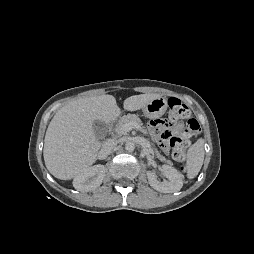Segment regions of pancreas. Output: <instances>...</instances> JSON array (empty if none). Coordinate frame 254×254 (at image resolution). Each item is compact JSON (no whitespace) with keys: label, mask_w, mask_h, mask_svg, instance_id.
Listing matches in <instances>:
<instances>
[{"label":"pancreas","mask_w":254,"mask_h":254,"mask_svg":"<svg viewBox=\"0 0 254 254\" xmlns=\"http://www.w3.org/2000/svg\"><path fill=\"white\" fill-rule=\"evenodd\" d=\"M129 122H132V123H137L139 126L142 125V121L140 120V118L135 115V114H128V115H124L123 117H121L117 123V125L115 126V132L118 134V135H123L125 134L126 132H122L121 131V128L124 124L126 123H129ZM158 157H160L161 159H164L162 158L159 154H157Z\"/></svg>","instance_id":"obj_1"}]
</instances>
